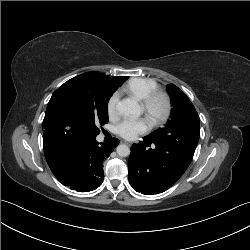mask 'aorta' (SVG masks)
<instances>
[{"instance_id": "1", "label": "aorta", "mask_w": 250, "mask_h": 250, "mask_svg": "<svg viewBox=\"0 0 250 250\" xmlns=\"http://www.w3.org/2000/svg\"><path fill=\"white\" fill-rule=\"evenodd\" d=\"M116 107L124 115L139 116L142 112L139 104L130 99L119 101ZM116 151L120 157H126L130 154V148L125 144L118 145Z\"/></svg>"}]
</instances>
